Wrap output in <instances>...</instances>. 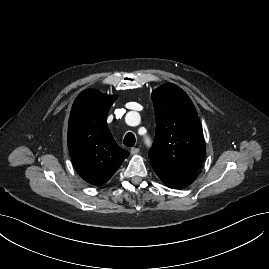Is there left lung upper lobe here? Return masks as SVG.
Here are the masks:
<instances>
[{"label":"left lung upper lobe","instance_id":"left-lung-upper-lobe-1","mask_svg":"<svg viewBox=\"0 0 269 269\" xmlns=\"http://www.w3.org/2000/svg\"><path fill=\"white\" fill-rule=\"evenodd\" d=\"M156 133L149 151L151 163L174 170L197 172L205 156L201 122L188 95L166 83L152 92Z\"/></svg>","mask_w":269,"mask_h":269}]
</instances>
